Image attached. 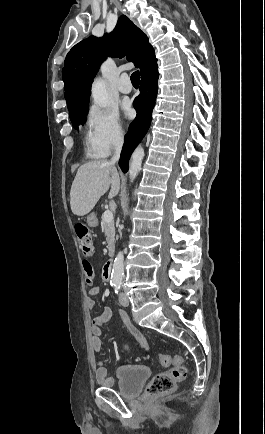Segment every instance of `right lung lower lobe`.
Returning <instances> with one entry per match:
<instances>
[{
    "label": "right lung lower lobe",
    "mask_w": 265,
    "mask_h": 434,
    "mask_svg": "<svg viewBox=\"0 0 265 434\" xmlns=\"http://www.w3.org/2000/svg\"><path fill=\"white\" fill-rule=\"evenodd\" d=\"M141 83L140 95L135 98L133 106L137 111L136 119L131 123L125 137V144L121 152L119 165L123 172L128 171L130 155L137 144L144 137L151 122V113L157 95V60L155 57L147 59L140 67Z\"/></svg>",
    "instance_id": "98d812e1"
}]
</instances>
